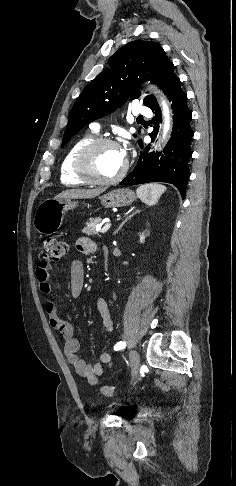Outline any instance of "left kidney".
Instances as JSON below:
<instances>
[{"label": "left kidney", "mask_w": 236, "mask_h": 486, "mask_svg": "<svg viewBox=\"0 0 236 486\" xmlns=\"http://www.w3.org/2000/svg\"><path fill=\"white\" fill-rule=\"evenodd\" d=\"M145 241V235L142 233L140 235V242L143 243Z\"/></svg>", "instance_id": "5707ae66"}]
</instances>
